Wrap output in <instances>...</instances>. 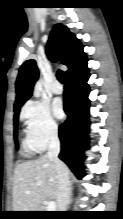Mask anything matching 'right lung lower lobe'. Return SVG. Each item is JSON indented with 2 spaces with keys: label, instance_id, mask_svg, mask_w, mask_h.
<instances>
[{
  "label": "right lung lower lobe",
  "instance_id": "right-lung-lower-lobe-1",
  "mask_svg": "<svg viewBox=\"0 0 123 219\" xmlns=\"http://www.w3.org/2000/svg\"><path fill=\"white\" fill-rule=\"evenodd\" d=\"M87 61L67 76L64 90V110L68 115L67 120L59 126L61 152L59 158L63 160L73 173L82 178L85 166L84 151L88 148L89 129L88 94L87 84L89 78Z\"/></svg>",
  "mask_w": 123,
  "mask_h": 219
}]
</instances>
